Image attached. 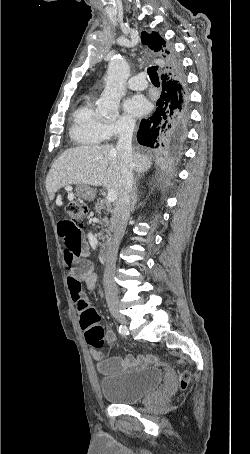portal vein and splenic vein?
<instances>
[{"mask_svg": "<svg viewBox=\"0 0 250 454\" xmlns=\"http://www.w3.org/2000/svg\"><path fill=\"white\" fill-rule=\"evenodd\" d=\"M106 199L108 203H113L117 199V192L113 189L108 190Z\"/></svg>", "mask_w": 250, "mask_h": 454, "instance_id": "1", "label": "portal vein and splenic vein"}]
</instances>
